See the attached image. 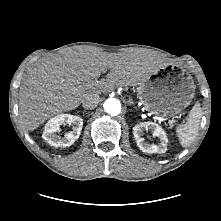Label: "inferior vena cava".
Returning a JSON list of instances; mask_svg holds the SVG:
<instances>
[{
  "instance_id": "1",
  "label": "inferior vena cava",
  "mask_w": 221,
  "mask_h": 221,
  "mask_svg": "<svg viewBox=\"0 0 221 221\" xmlns=\"http://www.w3.org/2000/svg\"><path fill=\"white\" fill-rule=\"evenodd\" d=\"M99 99L98 94L89 95L82 101V106L87 110H92L98 105Z\"/></svg>"
}]
</instances>
